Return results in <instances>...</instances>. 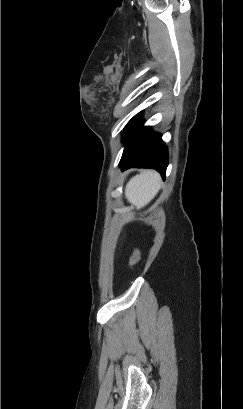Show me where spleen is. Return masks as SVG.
Instances as JSON below:
<instances>
[{
    "label": "spleen",
    "mask_w": 243,
    "mask_h": 409,
    "mask_svg": "<svg viewBox=\"0 0 243 409\" xmlns=\"http://www.w3.org/2000/svg\"><path fill=\"white\" fill-rule=\"evenodd\" d=\"M160 176L152 170L143 171L134 176L126 185L125 195L128 201L138 209L147 205L160 189Z\"/></svg>",
    "instance_id": "3e777b00"
}]
</instances>
